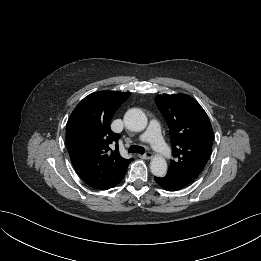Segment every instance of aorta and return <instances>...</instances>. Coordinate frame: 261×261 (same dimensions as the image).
Listing matches in <instances>:
<instances>
[{
  "label": "aorta",
  "mask_w": 261,
  "mask_h": 261,
  "mask_svg": "<svg viewBox=\"0 0 261 261\" xmlns=\"http://www.w3.org/2000/svg\"><path fill=\"white\" fill-rule=\"evenodd\" d=\"M125 126L134 132L143 131L148 123L146 114L138 108L128 110L124 115ZM150 170L154 176L163 177L167 172V162L162 156H154L150 162Z\"/></svg>",
  "instance_id": "aorta-1"
}]
</instances>
